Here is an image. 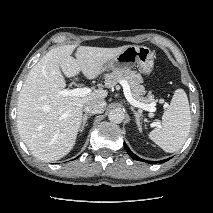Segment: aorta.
<instances>
[{
    "label": "aorta",
    "instance_id": "762f6f07",
    "mask_svg": "<svg viewBox=\"0 0 213 213\" xmlns=\"http://www.w3.org/2000/svg\"><path fill=\"white\" fill-rule=\"evenodd\" d=\"M108 118L113 123H122L125 118V114L121 109L117 108L109 112Z\"/></svg>",
    "mask_w": 213,
    "mask_h": 213
}]
</instances>
